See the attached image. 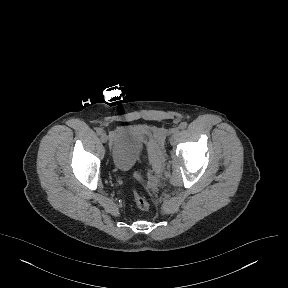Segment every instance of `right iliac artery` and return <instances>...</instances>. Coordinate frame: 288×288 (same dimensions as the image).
Segmentation results:
<instances>
[{
	"label": "right iliac artery",
	"mask_w": 288,
	"mask_h": 288,
	"mask_svg": "<svg viewBox=\"0 0 288 288\" xmlns=\"http://www.w3.org/2000/svg\"><path fill=\"white\" fill-rule=\"evenodd\" d=\"M96 132H97L98 135H101L103 133V130L101 128H97Z\"/></svg>",
	"instance_id": "1"
}]
</instances>
